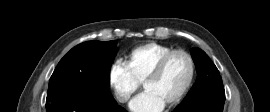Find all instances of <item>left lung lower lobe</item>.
Returning a JSON list of instances; mask_svg holds the SVG:
<instances>
[{
    "label": "left lung lower lobe",
    "mask_w": 270,
    "mask_h": 112,
    "mask_svg": "<svg viewBox=\"0 0 270 112\" xmlns=\"http://www.w3.org/2000/svg\"><path fill=\"white\" fill-rule=\"evenodd\" d=\"M224 102V90H212L197 101L181 103L173 112H223Z\"/></svg>",
    "instance_id": "obj_1"
}]
</instances>
